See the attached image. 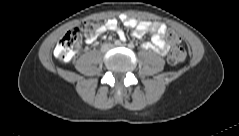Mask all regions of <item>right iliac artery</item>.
Returning a JSON list of instances; mask_svg holds the SVG:
<instances>
[{"label": "right iliac artery", "instance_id": "right-iliac-artery-1", "mask_svg": "<svg viewBox=\"0 0 239 136\" xmlns=\"http://www.w3.org/2000/svg\"><path fill=\"white\" fill-rule=\"evenodd\" d=\"M114 44H115L116 46H118V45L121 44V42H120L119 40H116V41L114 42Z\"/></svg>", "mask_w": 239, "mask_h": 136}]
</instances>
